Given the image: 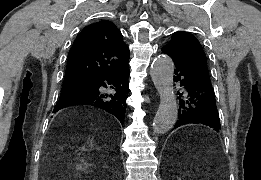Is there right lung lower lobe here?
Segmentation results:
<instances>
[{
  "label": "right lung lower lobe",
  "mask_w": 261,
  "mask_h": 180,
  "mask_svg": "<svg viewBox=\"0 0 261 180\" xmlns=\"http://www.w3.org/2000/svg\"><path fill=\"white\" fill-rule=\"evenodd\" d=\"M128 77V65L124 68L98 75L92 81L89 90L60 97L54 112L68 106L86 104L108 111L123 124L129 91ZM107 84L112 85L111 88L114 90L112 93H104L100 89V87H107Z\"/></svg>",
  "instance_id": "1"
}]
</instances>
